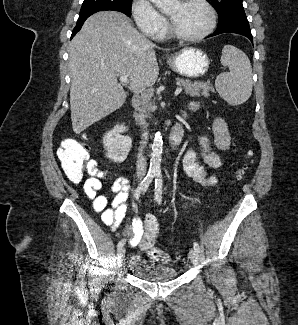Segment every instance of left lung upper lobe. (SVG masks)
I'll return each mask as SVG.
<instances>
[{
	"mask_svg": "<svg viewBox=\"0 0 298 325\" xmlns=\"http://www.w3.org/2000/svg\"><path fill=\"white\" fill-rule=\"evenodd\" d=\"M218 11V23L225 21L232 15L245 13L242 0H211Z\"/></svg>",
	"mask_w": 298,
	"mask_h": 325,
	"instance_id": "1",
	"label": "left lung upper lobe"
}]
</instances>
